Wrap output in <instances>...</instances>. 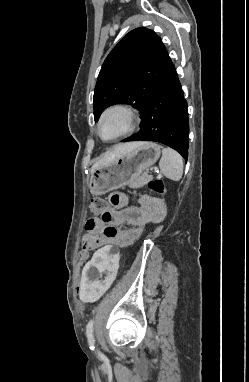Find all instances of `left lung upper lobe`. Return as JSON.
I'll use <instances>...</instances> for the list:
<instances>
[{
    "label": "left lung upper lobe",
    "mask_w": 249,
    "mask_h": 382,
    "mask_svg": "<svg viewBox=\"0 0 249 382\" xmlns=\"http://www.w3.org/2000/svg\"><path fill=\"white\" fill-rule=\"evenodd\" d=\"M173 65L160 37L146 28L126 34L105 59L94 91V118L110 105L129 104L144 115Z\"/></svg>",
    "instance_id": "5c2ea615"
}]
</instances>
